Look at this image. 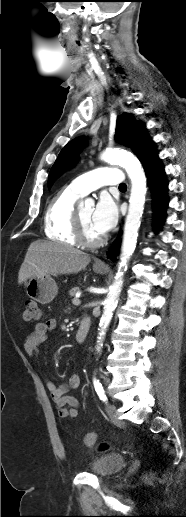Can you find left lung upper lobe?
Wrapping results in <instances>:
<instances>
[{
  "label": "left lung upper lobe",
  "mask_w": 186,
  "mask_h": 517,
  "mask_svg": "<svg viewBox=\"0 0 186 517\" xmlns=\"http://www.w3.org/2000/svg\"><path fill=\"white\" fill-rule=\"evenodd\" d=\"M114 137L120 144L130 147L138 158L153 145L151 139L146 135L144 125L136 121L130 114H123L117 118ZM85 143V138H76L61 150L50 170L48 187L52 185L58 176L76 162V158L82 151Z\"/></svg>",
  "instance_id": "5c2ea615"
}]
</instances>
